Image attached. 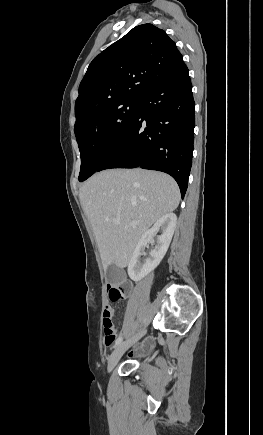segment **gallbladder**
Here are the masks:
<instances>
[{"label":"gallbladder","mask_w":263,"mask_h":435,"mask_svg":"<svg viewBox=\"0 0 263 435\" xmlns=\"http://www.w3.org/2000/svg\"><path fill=\"white\" fill-rule=\"evenodd\" d=\"M106 279L109 283L117 285L125 280V273L115 264H111L106 270Z\"/></svg>","instance_id":"bac80fb5"}]
</instances>
